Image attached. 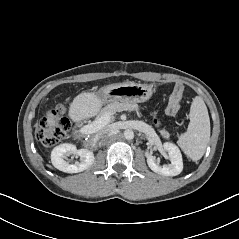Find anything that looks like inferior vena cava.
I'll list each match as a JSON object with an SVG mask.
<instances>
[{"label": "inferior vena cava", "mask_w": 239, "mask_h": 239, "mask_svg": "<svg viewBox=\"0 0 239 239\" xmlns=\"http://www.w3.org/2000/svg\"><path fill=\"white\" fill-rule=\"evenodd\" d=\"M112 131L111 127H105L102 130H100L94 137V141H97L100 138H103L106 134L110 133Z\"/></svg>", "instance_id": "obj_1"}]
</instances>
